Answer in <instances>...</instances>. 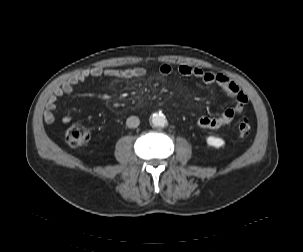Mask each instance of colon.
Listing matches in <instances>:
<instances>
[{
	"instance_id": "1",
	"label": "colon",
	"mask_w": 303,
	"mask_h": 252,
	"mask_svg": "<svg viewBox=\"0 0 303 252\" xmlns=\"http://www.w3.org/2000/svg\"><path fill=\"white\" fill-rule=\"evenodd\" d=\"M251 125L248 121H242L237 126V132L241 136L249 134ZM66 141L71 145H84L89 137L88 129L79 124L69 126L66 131Z\"/></svg>"
}]
</instances>
